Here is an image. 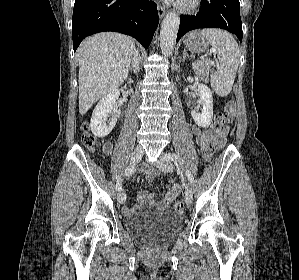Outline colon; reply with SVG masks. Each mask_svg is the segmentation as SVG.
I'll list each match as a JSON object with an SVG mask.
<instances>
[{
  "label": "colon",
  "mask_w": 299,
  "mask_h": 280,
  "mask_svg": "<svg viewBox=\"0 0 299 280\" xmlns=\"http://www.w3.org/2000/svg\"><path fill=\"white\" fill-rule=\"evenodd\" d=\"M234 108H235V103L233 101H229L226 105L225 111L224 112L219 111L215 115L213 129H212V137L207 143H205L201 147L202 157L205 161L210 160L212 154L214 153L216 149L215 137L224 130L225 125L229 120V115L234 110ZM82 143L85 147H87L91 151L96 150L98 147L97 139L90 131V127L87 123L83 125ZM174 210L177 213H182L183 204L181 202H176L174 204Z\"/></svg>",
  "instance_id": "colon-1"
}]
</instances>
